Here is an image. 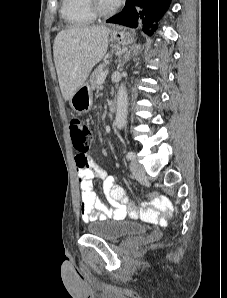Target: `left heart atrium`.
<instances>
[{"label": "left heart atrium", "instance_id": "1", "mask_svg": "<svg viewBox=\"0 0 227 298\" xmlns=\"http://www.w3.org/2000/svg\"><path fill=\"white\" fill-rule=\"evenodd\" d=\"M122 0H106L107 4L111 7L117 6Z\"/></svg>", "mask_w": 227, "mask_h": 298}]
</instances>
